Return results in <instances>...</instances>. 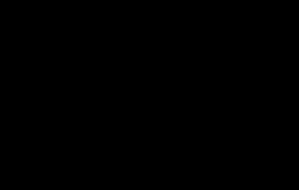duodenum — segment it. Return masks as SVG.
<instances>
[{"label": "duodenum", "mask_w": 299, "mask_h": 190, "mask_svg": "<svg viewBox=\"0 0 299 190\" xmlns=\"http://www.w3.org/2000/svg\"><path fill=\"white\" fill-rule=\"evenodd\" d=\"M159 76L167 77V74L165 72H159ZM137 78L138 76L135 72H129L123 76L122 82L125 85H131L137 80Z\"/></svg>", "instance_id": "duodenum-1"}]
</instances>
